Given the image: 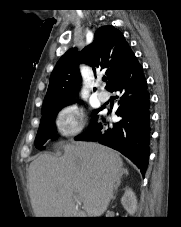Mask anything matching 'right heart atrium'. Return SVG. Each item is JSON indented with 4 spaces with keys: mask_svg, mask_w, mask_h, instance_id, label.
I'll return each mask as SVG.
<instances>
[{
    "mask_svg": "<svg viewBox=\"0 0 181 227\" xmlns=\"http://www.w3.org/2000/svg\"><path fill=\"white\" fill-rule=\"evenodd\" d=\"M84 125V111L74 103L64 106L57 114L56 126L61 136H76L83 131Z\"/></svg>",
    "mask_w": 181,
    "mask_h": 227,
    "instance_id": "d8ad5b80",
    "label": "right heart atrium"
}]
</instances>
